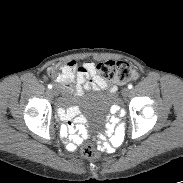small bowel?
<instances>
[{"label": "small bowel", "instance_id": "small-bowel-1", "mask_svg": "<svg viewBox=\"0 0 183 183\" xmlns=\"http://www.w3.org/2000/svg\"><path fill=\"white\" fill-rule=\"evenodd\" d=\"M60 75L63 77L61 84V94L68 95L71 92L70 84L75 81L77 93L82 90L95 87L108 86L107 82L102 79L92 62H84L79 65L76 61H67L60 65ZM116 86H111V91H115ZM109 119L106 130L102 136L101 147L107 155H113L120 147V142L123 138V128L119 125L120 119H125L128 116V110L125 107H112L109 110ZM57 116L60 120L65 121V124L58 128V133L61 136L68 137L70 142L67 144V149L70 152H75L78 146L82 144L85 139L86 132L83 130V119L79 117V110L77 107L59 108ZM109 140H106V139Z\"/></svg>", "mask_w": 183, "mask_h": 183}]
</instances>
